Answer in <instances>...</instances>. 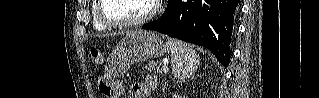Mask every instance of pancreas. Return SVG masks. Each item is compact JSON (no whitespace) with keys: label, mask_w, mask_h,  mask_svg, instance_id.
Listing matches in <instances>:
<instances>
[{"label":"pancreas","mask_w":319,"mask_h":98,"mask_svg":"<svg viewBox=\"0 0 319 98\" xmlns=\"http://www.w3.org/2000/svg\"><path fill=\"white\" fill-rule=\"evenodd\" d=\"M145 68L153 74H162L163 73V69L160 68L159 64L155 61H150L149 63H147Z\"/></svg>","instance_id":"obj_1"}]
</instances>
